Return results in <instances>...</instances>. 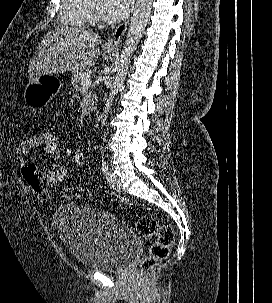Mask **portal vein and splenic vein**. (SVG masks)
<instances>
[{
    "label": "portal vein and splenic vein",
    "mask_w": 272,
    "mask_h": 303,
    "mask_svg": "<svg viewBox=\"0 0 272 303\" xmlns=\"http://www.w3.org/2000/svg\"><path fill=\"white\" fill-rule=\"evenodd\" d=\"M91 84H92V80H91L90 75H87V76L84 77V78L82 79V81H81V85H82L83 87H87V86H89V85H91Z\"/></svg>",
    "instance_id": "portal-vein-and-splenic-vein-1"
}]
</instances>
